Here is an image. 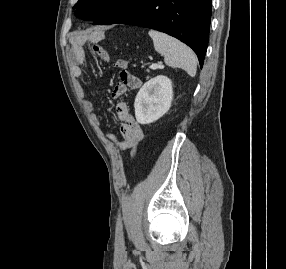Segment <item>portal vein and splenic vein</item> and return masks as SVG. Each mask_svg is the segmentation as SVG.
Masks as SVG:
<instances>
[{"mask_svg":"<svg viewBox=\"0 0 286 269\" xmlns=\"http://www.w3.org/2000/svg\"><path fill=\"white\" fill-rule=\"evenodd\" d=\"M151 69L155 70L157 68H159V65L156 64V63H152L151 66H150Z\"/></svg>","mask_w":286,"mask_h":269,"instance_id":"18ae733b","label":"portal vein and splenic vein"}]
</instances>
